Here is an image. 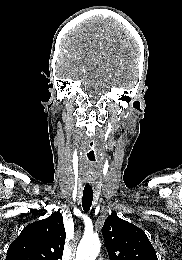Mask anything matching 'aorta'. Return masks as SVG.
Masks as SVG:
<instances>
[{
	"label": "aorta",
	"instance_id": "obj_1",
	"mask_svg": "<svg viewBox=\"0 0 182 260\" xmlns=\"http://www.w3.org/2000/svg\"><path fill=\"white\" fill-rule=\"evenodd\" d=\"M101 248L97 237H84L78 245L75 260H95Z\"/></svg>",
	"mask_w": 182,
	"mask_h": 260
}]
</instances>
